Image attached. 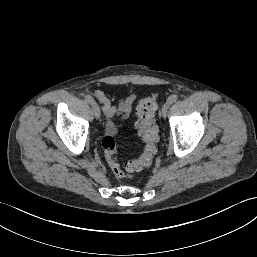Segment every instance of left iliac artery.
I'll return each mask as SVG.
<instances>
[{
    "mask_svg": "<svg viewBox=\"0 0 257 257\" xmlns=\"http://www.w3.org/2000/svg\"><path fill=\"white\" fill-rule=\"evenodd\" d=\"M177 100H178V96L175 95V94H173V95H171V96L168 98L167 101H169L170 103H174V102H176Z\"/></svg>",
    "mask_w": 257,
    "mask_h": 257,
    "instance_id": "left-iliac-artery-1",
    "label": "left iliac artery"
}]
</instances>
